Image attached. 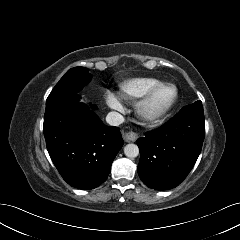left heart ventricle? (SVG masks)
Wrapping results in <instances>:
<instances>
[{"mask_svg": "<svg viewBox=\"0 0 240 240\" xmlns=\"http://www.w3.org/2000/svg\"><path fill=\"white\" fill-rule=\"evenodd\" d=\"M174 89L166 87L161 89L152 99L150 107L152 110L157 111L164 108L173 98Z\"/></svg>", "mask_w": 240, "mask_h": 240, "instance_id": "1", "label": "left heart ventricle"}]
</instances>
